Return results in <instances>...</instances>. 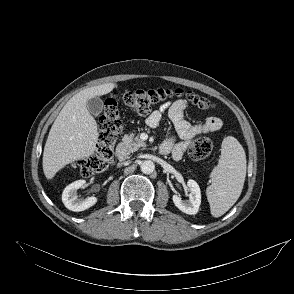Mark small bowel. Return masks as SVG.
I'll return each instance as SVG.
<instances>
[{"label":"small bowel","instance_id":"1","mask_svg":"<svg viewBox=\"0 0 294 294\" xmlns=\"http://www.w3.org/2000/svg\"><path fill=\"white\" fill-rule=\"evenodd\" d=\"M187 103L183 99L166 103L159 110L152 112L147 118L148 126L156 128L159 126L162 117L167 114L172 121L176 133L181 141L177 142L173 136L167 138L162 144L167 146L168 151L164 154L171 153L172 158L180 160L187 150L193 138L202 134L212 133L222 128V120L218 117H208L204 122L190 124L184 116Z\"/></svg>","mask_w":294,"mask_h":294}]
</instances>
